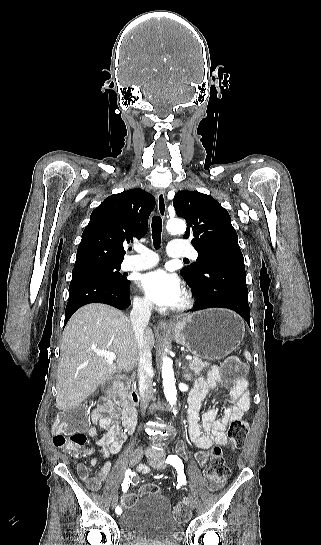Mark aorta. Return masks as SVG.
<instances>
[{
	"label": "aorta",
	"instance_id": "obj_1",
	"mask_svg": "<svg viewBox=\"0 0 321 545\" xmlns=\"http://www.w3.org/2000/svg\"><path fill=\"white\" fill-rule=\"evenodd\" d=\"M166 229L171 234H182L186 230V225L181 219H171L167 222ZM162 378L165 397L171 407H173L177 401V390L175 386L172 360L167 357L163 358ZM174 413H176V411H174Z\"/></svg>",
	"mask_w": 321,
	"mask_h": 545
}]
</instances>
